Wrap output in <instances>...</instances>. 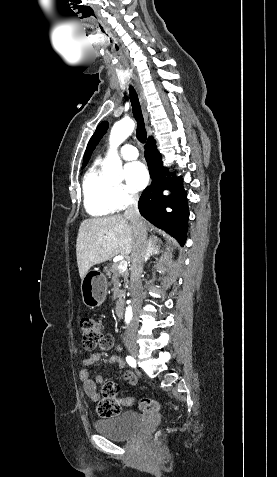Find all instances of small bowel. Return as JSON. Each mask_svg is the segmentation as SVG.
Instances as JSON below:
<instances>
[{
    "label": "small bowel",
    "instance_id": "obj_1",
    "mask_svg": "<svg viewBox=\"0 0 277 477\" xmlns=\"http://www.w3.org/2000/svg\"><path fill=\"white\" fill-rule=\"evenodd\" d=\"M115 348L118 352L122 350L121 346L117 344L114 338L111 335L104 336L99 342V350L106 351ZM101 358L100 352L94 353L88 358H85L82 361L83 368L79 373V378L83 386L85 394L94 401L99 399V393L97 391V385L104 382V378L101 374H97L95 378L90 377V368L95 365ZM107 363H118L121 368H124V362L117 355H112L107 358ZM119 378L126 381L129 385H135L137 383V377L132 372H123L120 374ZM133 400L131 398H126L123 400L124 405H131Z\"/></svg>",
    "mask_w": 277,
    "mask_h": 477
}]
</instances>
